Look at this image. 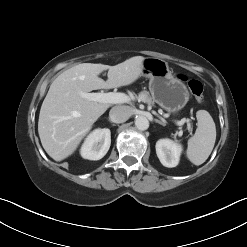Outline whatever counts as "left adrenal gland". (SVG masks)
I'll return each mask as SVG.
<instances>
[{
    "label": "left adrenal gland",
    "mask_w": 247,
    "mask_h": 247,
    "mask_svg": "<svg viewBox=\"0 0 247 247\" xmlns=\"http://www.w3.org/2000/svg\"><path fill=\"white\" fill-rule=\"evenodd\" d=\"M155 122L158 123V124H160V125L165 126V124L163 122H161L160 120H158V119H155Z\"/></svg>",
    "instance_id": "1"
}]
</instances>
